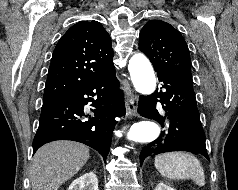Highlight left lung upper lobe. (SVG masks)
Instances as JSON below:
<instances>
[{
  "label": "left lung upper lobe",
  "instance_id": "obj_1",
  "mask_svg": "<svg viewBox=\"0 0 238 190\" xmlns=\"http://www.w3.org/2000/svg\"><path fill=\"white\" fill-rule=\"evenodd\" d=\"M139 49L152 62L155 71H165L192 80L188 46L181 33L161 20H150L139 35Z\"/></svg>",
  "mask_w": 238,
  "mask_h": 190
}]
</instances>
